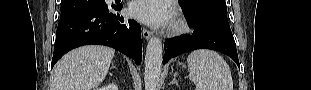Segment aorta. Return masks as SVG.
I'll use <instances>...</instances> for the list:
<instances>
[{
	"label": "aorta",
	"mask_w": 311,
	"mask_h": 90,
	"mask_svg": "<svg viewBox=\"0 0 311 90\" xmlns=\"http://www.w3.org/2000/svg\"><path fill=\"white\" fill-rule=\"evenodd\" d=\"M160 38L152 37L146 48L144 82L145 90H158L163 59Z\"/></svg>",
	"instance_id": "762f6f07"
}]
</instances>
